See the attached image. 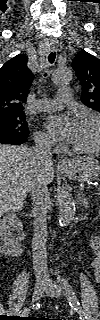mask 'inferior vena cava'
Returning a JSON list of instances; mask_svg holds the SVG:
<instances>
[{
    "label": "inferior vena cava",
    "mask_w": 100,
    "mask_h": 320,
    "mask_svg": "<svg viewBox=\"0 0 100 320\" xmlns=\"http://www.w3.org/2000/svg\"><path fill=\"white\" fill-rule=\"evenodd\" d=\"M31 152L40 162L48 164L52 161L51 144L48 139H36L35 147L31 149ZM47 185L48 183L42 172L36 174L31 183L34 212V237L32 240L33 268L38 282L47 281L49 278L46 255V215L51 207V200Z\"/></svg>",
    "instance_id": "1"
}]
</instances>
